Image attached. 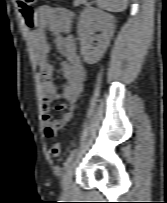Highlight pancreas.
Wrapping results in <instances>:
<instances>
[{"label": "pancreas", "mask_w": 167, "mask_h": 203, "mask_svg": "<svg viewBox=\"0 0 167 203\" xmlns=\"http://www.w3.org/2000/svg\"><path fill=\"white\" fill-rule=\"evenodd\" d=\"M86 3H87L86 0H76L74 2V6H79L81 4H86Z\"/></svg>", "instance_id": "obj_1"}]
</instances>
